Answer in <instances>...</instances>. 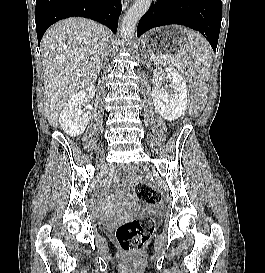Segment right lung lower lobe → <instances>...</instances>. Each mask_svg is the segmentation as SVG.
I'll use <instances>...</instances> for the list:
<instances>
[{
    "mask_svg": "<svg viewBox=\"0 0 265 273\" xmlns=\"http://www.w3.org/2000/svg\"><path fill=\"white\" fill-rule=\"evenodd\" d=\"M121 9V0H36L38 43L49 26L74 16L100 22L116 33Z\"/></svg>",
    "mask_w": 265,
    "mask_h": 273,
    "instance_id": "98d812e1",
    "label": "right lung lower lobe"
}]
</instances>
